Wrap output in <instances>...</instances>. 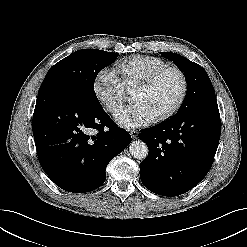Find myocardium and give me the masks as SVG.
Instances as JSON below:
<instances>
[{
	"mask_svg": "<svg viewBox=\"0 0 247 247\" xmlns=\"http://www.w3.org/2000/svg\"><path fill=\"white\" fill-rule=\"evenodd\" d=\"M167 71H175L179 74L181 81H182V88L181 92L179 94V97L177 98L176 102L164 113L160 114L156 117L157 121H164L172 117L174 114L177 113V111L180 109L182 104L184 103L187 93H188V79L185 74V72L178 66L174 65H167L162 68H159L149 75H147L144 79H142L137 85L136 88L140 89H146L149 88L154 82L165 72Z\"/></svg>",
	"mask_w": 247,
	"mask_h": 247,
	"instance_id": "myocardium-1",
	"label": "myocardium"
}]
</instances>
